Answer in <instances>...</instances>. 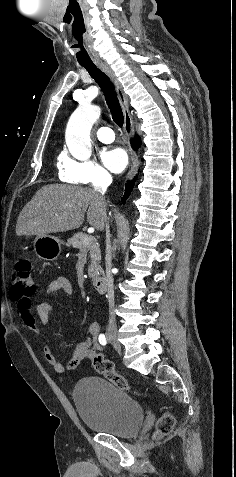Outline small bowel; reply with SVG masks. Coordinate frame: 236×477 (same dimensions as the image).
Here are the masks:
<instances>
[{
    "mask_svg": "<svg viewBox=\"0 0 236 477\" xmlns=\"http://www.w3.org/2000/svg\"><path fill=\"white\" fill-rule=\"evenodd\" d=\"M60 291L68 295L73 294V286L70 280L65 276H58L53 279L48 284L45 295H52ZM52 310V303L43 301L37 306L35 313L32 312L31 308H28L22 311L19 310V314L29 328L37 329L38 324L43 326L47 325ZM99 331V324L97 322H91L87 327L86 340L71 349L70 357L66 363L60 362L51 346L46 345L43 349L46 361L52 366L55 372L65 374L69 370L77 368L85 360H91L94 356L100 355L102 348L98 337Z\"/></svg>",
    "mask_w": 236,
    "mask_h": 477,
    "instance_id": "1",
    "label": "small bowel"
}]
</instances>
